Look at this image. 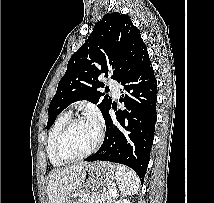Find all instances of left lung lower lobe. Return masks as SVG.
I'll list each match as a JSON object with an SVG mask.
<instances>
[{"mask_svg": "<svg viewBox=\"0 0 214 203\" xmlns=\"http://www.w3.org/2000/svg\"><path fill=\"white\" fill-rule=\"evenodd\" d=\"M123 86L116 121L105 113L106 135L100 149L85 161H110L131 167L141 182L147 170L156 124L157 81L147 48L118 80Z\"/></svg>", "mask_w": 214, "mask_h": 203, "instance_id": "1", "label": "left lung lower lobe"}]
</instances>
